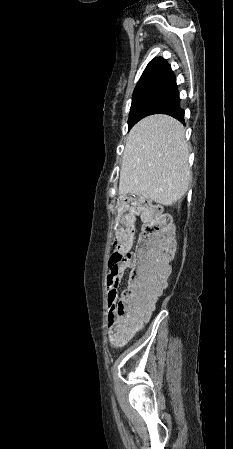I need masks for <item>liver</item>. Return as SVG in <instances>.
Listing matches in <instances>:
<instances>
[{"label": "liver", "instance_id": "obj_1", "mask_svg": "<svg viewBox=\"0 0 233 449\" xmlns=\"http://www.w3.org/2000/svg\"><path fill=\"white\" fill-rule=\"evenodd\" d=\"M185 129L176 119L156 114L129 132L120 171L119 194L140 195L172 206L192 180Z\"/></svg>", "mask_w": 233, "mask_h": 449}]
</instances>
